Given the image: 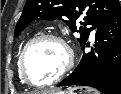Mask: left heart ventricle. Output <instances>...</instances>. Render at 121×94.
Instances as JSON below:
<instances>
[{"instance_id": "obj_1", "label": "left heart ventricle", "mask_w": 121, "mask_h": 94, "mask_svg": "<svg viewBox=\"0 0 121 94\" xmlns=\"http://www.w3.org/2000/svg\"><path fill=\"white\" fill-rule=\"evenodd\" d=\"M65 54L62 47L54 41H41L29 51L25 67L33 82L45 83L53 79L62 69Z\"/></svg>"}]
</instances>
